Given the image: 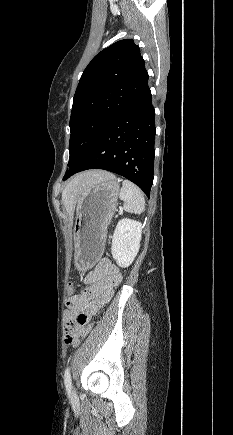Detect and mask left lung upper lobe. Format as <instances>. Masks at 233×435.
<instances>
[{
    "label": "left lung upper lobe",
    "mask_w": 233,
    "mask_h": 435,
    "mask_svg": "<svg viewBox=\"0 0 233 435\" xmlns=\"http://www.w3.org/2000/svg\"><path fill=\"white\" fill-rule=\"evenodd\" d=\"M148 78L132 39L118 41L92 59L73 98L69 167L82 161L108 126L137 100Z\"/></svg>",
    "instance_id": "1"
}]
</instances>
